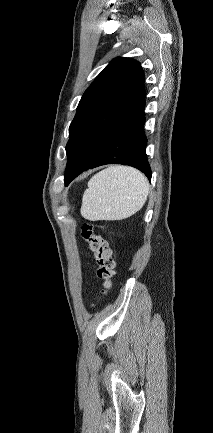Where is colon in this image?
<instances>
[{
	"label": "colon",
	"instance_id": "5ec220e1",
	"mask_svg": "<svg viewBox=\"0 0 213 433\" xmlns=\"http://www.w3.org/2000/svg\"><path fill=\"white\" fill-rule=\"evenodd\" d=\"M81 236L94 255L96 276L101 281L100 295L92 304V307H96L101 297L107 295L112 287L116 264L108 241L95 233L93 224L84 223L81 226Z\"/></svg>",
	"mask_w": 213,
	"mask_h": 433
}]
</instances>
